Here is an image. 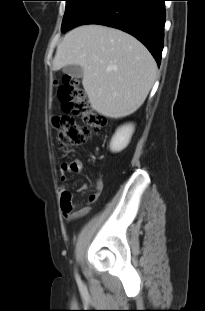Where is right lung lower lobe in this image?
I'll return each instance as SVG.
<instances>
[{
	"instance_id": "98d812e1",
	"label": "right lung lower lobe",
	"mask_w": 205,
	"mask_h": 311,
	"mask_svg": "<svg viewBox=\"0 0 205 311\" xmlns=\"http://www.w3.org/2000/svg\"><path fill=\"white\" fill-rule=\"evenodd\" d=\"M165 0H90L70 29L101 24L125 31L142 42L158 65L164 40Z\"/></svg>"
}]
</instances>
